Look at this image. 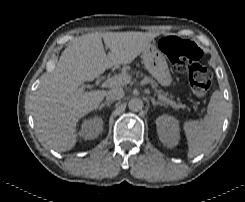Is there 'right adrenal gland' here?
Returning <instances> with one entry per match:
<instances>
[{"label":"right adrenal gland","instance_id":"obj_1","mask_svg":"<svg viewBox=\"0 0 245 202\" xmlns=\"http://www.w3.org/2000/svg\"><path fill=\"white\" fill-rule=\"evenodd\" d=\"M112 103H113L112 101H106V102H103V103H101V104L97 107V109L100 110V109H102V108L105 107V106L110 107Z\"/></svg>","mask_w":245,"mask_h":202}]
</instances>
